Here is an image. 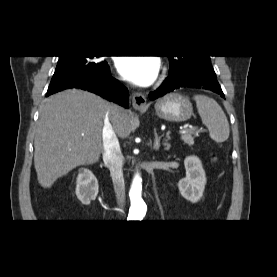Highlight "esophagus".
<instances>
[{
    "label": "esophagus",
    "instance_id": "obj_1",
    "mask_svg": "<svg viewBox=\"0 0 277 277\" xmlns=\"http://www.w3.org/2000/svg\"><path fill=\"white\" fill-rule=\"evenodd\" d=\"M146 103H147V101H146V97L144 96V94H142L140 92H134L132 94V105L136 110L146 109V107H147Z\"/></svg>",
    "mask_w": 277,
    "mask_h": 277
}]
</instances>
